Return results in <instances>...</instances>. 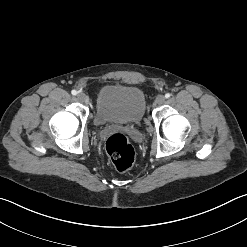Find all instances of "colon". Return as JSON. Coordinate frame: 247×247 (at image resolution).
<instances>
[{"mask_svg":"<svg viewBox=\"0 0 247 247\" xmlns=\"http://www.w3.org/2000/svg\"><path fill=\"white\" fill-rule=\"evenodd\" d=\"M106 153L115 168L124 172L129 170L135 159V152L129 139L121 133L108 137L105 144Z\"/></svg>","mask_w":247,"mask_h":247,"instance_id":"colon-1","label":"colon"}]
</instances>
